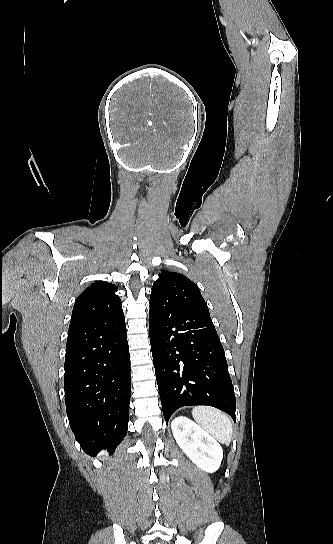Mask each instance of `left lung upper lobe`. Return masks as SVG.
<instances>
[{"label": "left lung upper lobe", "instance_id": "5c2ea615", "mask_svg": "<svg viewBox=\"0 0 333 544\" xmlns=\"http://www.w3.org/2000/svg\"><path fill=\"white\" fill-rule=\"evenodd\" d=\"M150 301L157 305H176L209 314L198 286L176 272L161 271L153 284Z\"/></svg>", "mask_w": 333, "mask_h": 544}]
</instances>
